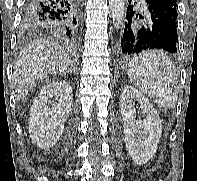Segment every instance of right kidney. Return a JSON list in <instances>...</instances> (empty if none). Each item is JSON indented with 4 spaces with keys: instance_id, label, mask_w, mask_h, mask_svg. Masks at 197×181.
<instances>
[{
    "instance_id": "1",
    "label": "right kidney",
    "mask_w": 197,
    "mask_h": 181,
    "mask_svg": "<svg viewBox=\"0 0 197 181\" xmlns=\"http://www.w3.org/2000/svg\"><path fill=\"white\" fill-rule=\"evenodd\" d=\"M72 88L65 80L43 87L30 110L29 133L32 141L47 149L56 144L71 110Z\"/></svg>"
}]
</instances>
